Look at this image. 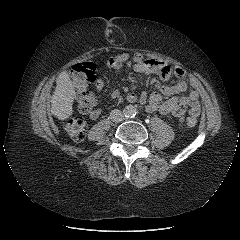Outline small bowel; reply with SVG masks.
<instances>
[{"label":"small bowel","instance_id":"small-bowel-1","mask_svg":"<svg viewBox=\"0 0 240 240\" xmlns=\"http://www.w3.org/2000/svg\"><path fill=\"white\" fill-rule=\"evenodd\" d=\"M106 66L110 69H121L123 67L132 68L137 73L148 76L156 74L162 81H167L172 75L180 80L174 85H163L159 91L148 94L143 91L139 96V101L149 112H159L163 115H172L179 122H182L186 116L197 118L200 114V104L198 91L193 81H185V71L179 66H170L166 61L160 59H146L141 54L130 55L120 53L110 58ZM104 87V82L99 79L95 83V89L100 92ZM187 92L186 96L179 94ZM120 93L117 90L111 92L110 97L117 99ZM164 96L170 97L164 99ZM102 114L101 108H95L90 113V117L95 119Z\"/></svg>","mask_w":240,"mask_h":240}]
</instances>
